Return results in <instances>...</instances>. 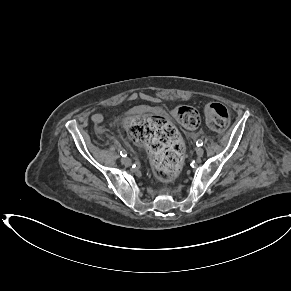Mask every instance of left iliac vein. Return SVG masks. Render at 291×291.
Wrapping results in <instances>:
<instances>
[{"label":"left iliac vein","mask_w":291,"mask_h":291,"mask_svg":"<svg viewBox=\"0 0 291 291\" xmlns=\"http://www.w3.org/2000/svg\"><path fill=\"white\" fill-rule=\"evenodd\" d=\"M203 154H204V149L203 148L199 147V148L196 149L197 157H202Z\"/></svg>","instance_id":"4c4485c4"}]
</instances>
